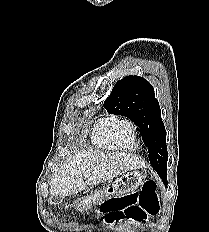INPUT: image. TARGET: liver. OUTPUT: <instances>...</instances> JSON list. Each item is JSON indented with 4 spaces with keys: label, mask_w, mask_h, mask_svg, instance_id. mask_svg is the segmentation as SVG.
I'll return each mask as SVG.
<instances>
[{
    "label": "liver",
    "mask_w": 209,
    "mask_h": 232,
    "mask_svg": "<svg viewBox=\"0 0 209 232\" xmlns=\"http://www.w3.org/2000/svg\"><path fill=\"white\" fill-rule=\"evenodd\" d=\"M145 163L127 153L88 150L75 154L52 180L51 197L70 196L131 170L144 168Z\"/></svg>",
    "instance_id": "liver-1"
}]
</instances>
